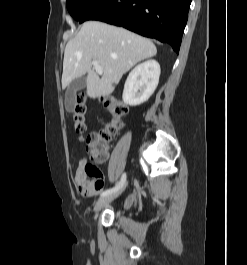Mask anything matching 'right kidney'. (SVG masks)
Listing matches in <instances>:
<instances>
[{
    "label": "right kidney",
    "instance_id": "1",
    "mask_svg": "<svg viewBox=\"0 0 247 265\" xmlns=\"http://www.w3.org/2000/svg\"><path fill=\"white\" fill-rule=\"evenodd\" d=\"M160 77V65L150 59L137 65L128 75L123 90V101L130 106L146 102L154 93Z\"/></svg>",
    "mask_w": 247,
    "mask_h": 265
}]
</instances>
